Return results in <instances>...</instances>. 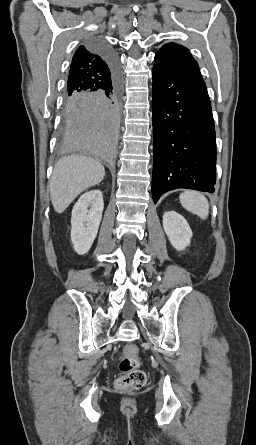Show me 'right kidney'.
<instances>
[{
    "mask_svg": "<svg viewBox=\"0 0 256 445\" xmlns=\"http://www.w3.org/2000/svg\"><path fill=\"white\" fill-rule=\"evenodd\" d=\"M104 208L100 190H91L80 196L73 207L71 217V241L79 255L86 254L96 236Z\"/></svg>",
    "mask_w": 256,
    "mask_h": 445,
    "instance_id": "obj_1",
    "label": "right kidney"
}]
</instances>
